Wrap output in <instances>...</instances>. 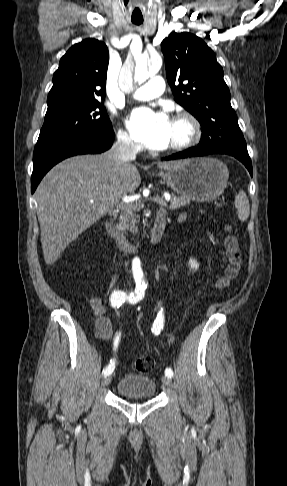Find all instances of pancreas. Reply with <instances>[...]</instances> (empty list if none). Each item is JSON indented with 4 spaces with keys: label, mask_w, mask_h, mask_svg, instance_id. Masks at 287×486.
Returning a JSON list of instances; mask_svg holds the SVG:
<instances>
[{
    "label": "pancreas",
    "mask_w": 287,
    "mask_h": 486,
    "mask_svg": "<svg viewBox=\"0 0 287 486\" xmlns=\"http://www.w3.org/2000/svg\"><path fill=\"white\" fill-rule=\"evenodd\" d=\"M171 201L168 209L175 210L182 206H185L190 203V200L183 197H177L174 194H171ZM122 212L119 218L118 227L122 231H130L132 233L138 232L139 223V215L136 214L138 210V204H128L121 207Z\"/></svg>",
    "instance_id": "pancreas-1"
}]
</instances>
